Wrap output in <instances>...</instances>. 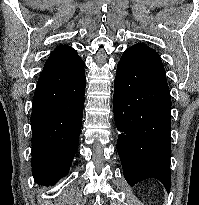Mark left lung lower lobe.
<instances>
[{
	"label": "left lung lower lobe",
	"instance_id": "1",
	"mask_svg": "<svg viewBox=\"0 0 199 205\" xmlns=\"http://www.w3.org/2000/svg\"><path fill=\"white\" fill-rule=\"evenodd\" d=\"M113 111L126 133L117 151L128 184L155 178L170 192V90L160 56L143 43L126 49L117 65Z\"/></svg>",
	"mask_w": 199,
	"mask_h": 205
}]
</instances>
